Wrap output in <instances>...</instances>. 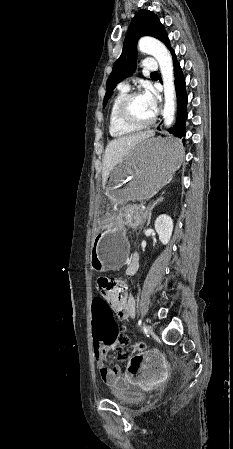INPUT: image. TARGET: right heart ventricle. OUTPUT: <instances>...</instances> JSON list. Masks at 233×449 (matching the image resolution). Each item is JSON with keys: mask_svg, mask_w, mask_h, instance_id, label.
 <instances>
[{"mask_svg": "<svg viewBox=\"0 0 233 449\" xmlns=\"http://www.w3.org/2000/svg\"><path fill=\"white\" fill-rule=\"evenodd\" d=\"M128 93V88L118 87L116 94L114 95L108 114L109 121V133L113 138H121L136 132L138 129L130 127L122 123L117 115V108L120 100Z\"/></svg>", "mask_w": 233, "mask_h": 449, "instance_id": "obj_1", "label": "right heart ventricle"}]
</instances>
